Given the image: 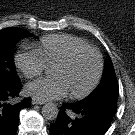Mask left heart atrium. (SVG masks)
Masks as SVG:
<instances>
[{
	"instance_id": "left-heart-atrium-1",
	"label": "left heart atrium",
	"mask_w": 135,
	"mask_h": 135,
	"mask_svg": "<svg viewBox=\"0 0 135 135\" xmlns=\"http://www.w3.org/2000/svg\"><path fill=\"white\" fill-rule=\"evenodd\" d=\"M26 91L29 95L43 102L63 98L68 93L64 82L57 77L40 79L30 83L27 85Z\"/></svg>"
}]
</instances>
